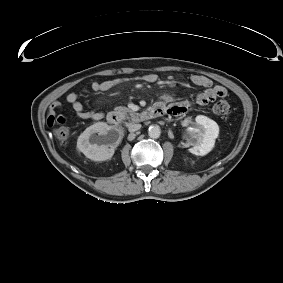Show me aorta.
I'll return each mask as SVG.
<instances>
[{
    "label": "aorta",
    "mask_w": 283,
    "mask_h": 283,
    "mask_svg": "<svg viewBox=\"0 0 283 283\" xmlns=\"http://www.w3.org/2000/svg\"><path fill=\"white\" fill-rule=\"evenodd\" d=\"M148 135L154 139L159 138L161 135L160 127L158 125H151L148 129Z\"/></svg>",
    "instance_id": "762f6f07"
}]
</instances>
